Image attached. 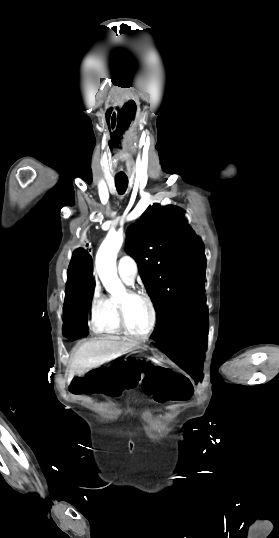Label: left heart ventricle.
Returning a JSON list of instances; mask_svg holds the SVG:
<instances>
[{"mask_svg": "<svg viewBox=\"0 0 279 538\" xmlns=\"http://www.w3.org/2000/svg\"><path fill=\"white\" fill-rule=\"evenodd\" d=\"M97 219H101V216L97 215ZM122 295L123 293L120 296ZM126 320L133 332L144 333L151 321V312L147 303L139 298L129 300L126 306Z\"/></svg>", "mask_w": 279, "mask_h": 538, "instance_id": "1", "label": "left heart ventricle"}]
</instances>
